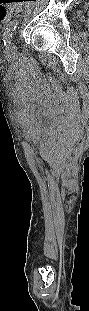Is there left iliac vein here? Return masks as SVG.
Returning <instances> with one entry per match:
<instances>
[{"mask_svg": "<svg viewBox=\"0 0 89 311\" xmlns=\"http://www.w3.org/2000/svg\"><path fill=\"white\" fill-rule=\"evenodd\" d=\"M6 51L8 54H13L16 51V45L14 41H11L7 44Z\"/></svg>", "mask_w": 89, "mask_h": 311, "instance_id": "left-iliac-vein-1", "label": "left iliac vein"}]
</instances>
